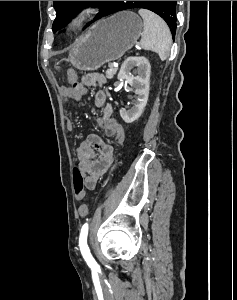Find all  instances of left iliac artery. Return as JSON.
Wrapping results in <instances>:
<instances>
[{
    "label": "left iliac artery",
    "mask_w": 237,
    "mask_h": 300,
    "mask_svg": "<svg viewBox=\"0 0 237 300\" xmlns=\"http://www.w3.org/2000/svg\"><path fill=\"white\" fill-rule=\"evenodd\" d=\"M87 235H88V223H85L81 229V233L79 237V247L83 258L87 262L88 266L92 268V267H96L97 263L92 257L89 247L87 245Z\"/></svg>",
    "instance_id": "left-iliac-artery-1"
}]
</instances>
